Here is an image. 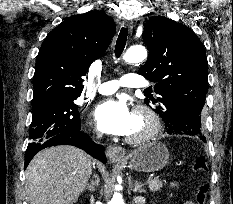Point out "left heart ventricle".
I'll return each instance as SVG.
<instances>
[{
	"instance_id": "b2bd125f",
	"label": "left heart ventricle",
	"mask_w": 233,
	"mask_h": 204,
	"mask_svg": "<svg viewBox=\"0 0 233 204\" xmlns=\"http://www.w3.org/2000/svg\"><path fill=\"white\" fill-rule=\"evenodd\" d=\"M146 128H147L146 120L142 116L133 114V123L127 135L128 136L138 135L143 131H145Z\"/></svg>"
}]
</instances>
